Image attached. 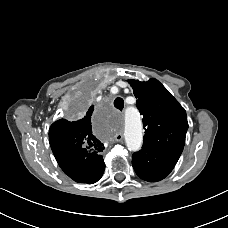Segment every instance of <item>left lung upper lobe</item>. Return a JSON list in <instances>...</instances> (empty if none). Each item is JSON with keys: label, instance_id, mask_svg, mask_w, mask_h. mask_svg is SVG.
Returning a JSON list of instances; mask_svg holds the SVG:
<instances>
[{"label": "left lung upper lobe", "instance_id": "5c2ea615", "mask_svg": "<svg viewBox=\"0 0 228 228\" xmlns=\"http://www.w3.org/2000/svg\"><path fill=\"white\" fill-rule=\"evenodd\" d=\"M143 115L145 129L143 147L181 154L185 144L188 122L185 109L156 79L147 82L128 81Z\"/></svg>", "mask_w": 228, "mask_h": 228}]
</instances>
